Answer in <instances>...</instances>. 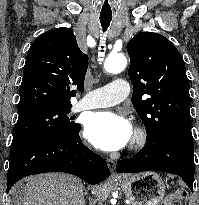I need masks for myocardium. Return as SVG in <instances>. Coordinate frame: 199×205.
<instances>
[{
    "mask_svg": "<svg viewBox=\"0 0 199 205\" xmlns=\"http://www.w3.org/2000/svg\"><path fill=\"white\" fill-rule=\"evenodd\" d=\"M147 142V132L144 128H137L134 132L131 148L134 150L141 149Z\"/></svg>",
    "mask_w": 199,
    "mask_h": 205,
    "instance_id": "1",
    "label": "myocardium"
}]
</instances>
